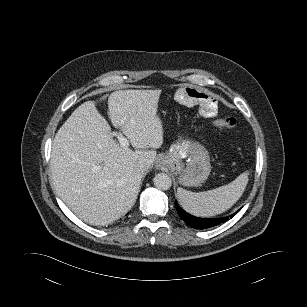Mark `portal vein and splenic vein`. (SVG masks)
I'll return each instance as SVG.
<instances>
[{"label":"portal vein and splenic vein","mask_w":307,"mask_h":307,"mask_svg":"<svg viewBox=\"0 0 307 307\" xmlns=\"http://www.w3.org/2000/svg\"><path fill=\"white\" fill-rule=\"evenodd\" d=\"M113 136L117 137V139H118V141H119V143L122 147H128L129 146V140L126 137H124L121 133L114 131Z\"/></svg>","instance_id":"portal-vein-and-splenic-vein-1"}]
</instances>
